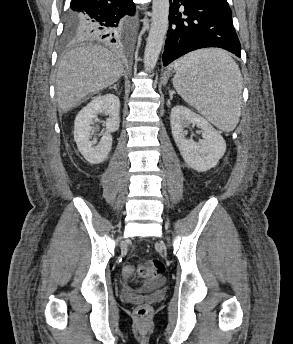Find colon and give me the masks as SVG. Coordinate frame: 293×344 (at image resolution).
I'll return each mask as SVG.
<instances>
[{
	"label": "colon",
	"mask_w": 293,
	"mask_h": 344,
	"mask_svg": "<svg viewBox=\"0 0 293 344\" xmlns=\"http://www.w3.org/2000/svg\"><path fill=\"white\" fill-rule=\"evenodd\" d=\"M133 273L149 281H158L165 273V264L160 259H151L136 266H126L123 270L124 276L128 278ZM135 312L138 318L144 319L150 314V306L147 304L139 305Z\"/></svg>",
	"instance_id": "colon-1"
}]
</instances>
